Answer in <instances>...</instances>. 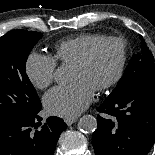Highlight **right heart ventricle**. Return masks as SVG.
<instances>
[{
  "instance_id": "e07e8e85",
  "label": "right heart ventricle",
  "mask_w": 155,
  "mask_h": 155,
  "mask_svg": "<svg viewBox=\"0 0 155 155\" xmlns=\"http://www.w3.org/2000/svg\"><path fill=\"white\" fill-rule=\"evenodd\" d=\"M105 36L94 33H82L62 40L54 46V59L66 65H73L91 45Z\"/></svg>"
}]
</instances>
